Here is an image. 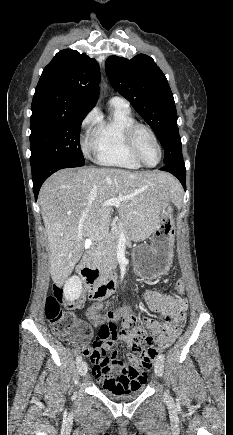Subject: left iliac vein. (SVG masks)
Listing matches in <instances>:
<instances>
[{
	"label": "left iliac vein",
	"instance_id": "1",
	"mask_svg": "<svg viewBox=\"0 0 233 435\" xmlns=\"http://www.w3.org/2000/svg\"><path fill=\"white\" fill-rule=\"evenodd\" d=\"M154 370L157 376L161 377L164 371V364L161 360H156L154 364Z\"/></svg>",
	"mask_w": 233,
	"mask_h": 435
}]
</instances>
